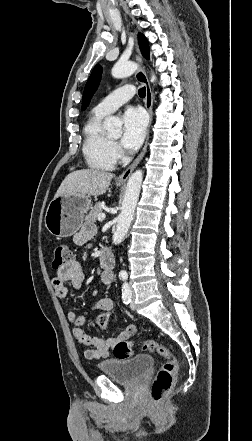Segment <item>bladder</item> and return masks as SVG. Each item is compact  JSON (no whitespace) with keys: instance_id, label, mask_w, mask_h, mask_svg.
Instances as JSON below:
<instances>
[{"instance_id":"31cf9c89","label":"bladder","mask_w":252,"mask_h":441,"mask_svg":"<svg viewBox=\"0 0 252 441\" xmlns=\"http://www.w3.org/2000/svg\"><path fill=\"white\" fill-rule=\"evenodd\" d=\"M150 355L140 354L128 358H115L98 364V369L112 380L132 384L139 381L153 366Z\"/></svg>"}]
</instances>
